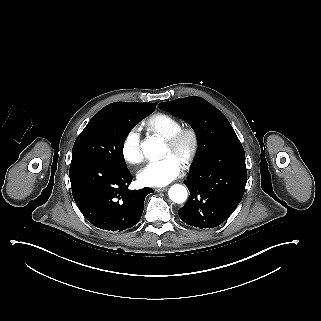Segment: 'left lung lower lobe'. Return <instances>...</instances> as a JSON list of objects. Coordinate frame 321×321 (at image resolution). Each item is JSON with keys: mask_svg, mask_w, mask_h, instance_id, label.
I'll use <instances>...</instances> for the list:
<instances>
[{"mask_svg": "<svg viewBox=\"0 0 321 321\" xmlns=\"http://www.w3.org/2000/svg\"><path fill=\"white\" fill-rule=\"evenodd\" d=\"M247 182L241 144L215 151L196 165L184 181L190 196L179 210L180 219L198 228L219 226L240 203Z\"/></svg>", "mask_w": 321, "mask_h": 321, "instance_id": "obj_1", "label": "left lung lower lobe"}]
</instances>
